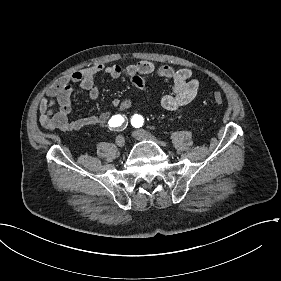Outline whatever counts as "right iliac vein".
<instances>
[{
  "instance_id": "63e3f726",
  "label": "right iliac vein",
  "mask_w": 281,
  "mask_h": 281,
  "mask_svg": "<svg viewBox=\"0 0 281 281\" xmlns=\"http://www.w3.org/2000/svg\"><path fill=\"white\" fill-rule=\"evenodd\" d=\"M115 143L118 147L122 148L125 145V139L122 135H118L115 139Z\"/></svg>"
}]
</instances>
